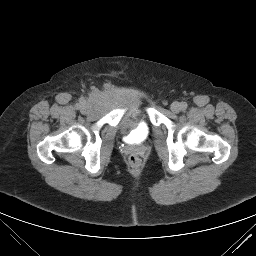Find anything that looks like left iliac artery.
Listing matches in <instances>:
<instances>
[{
    "instance_id": "left-iliac-artery-1",
    "label": "left iliac artery",
    "mask_w": 256,
    "mask_h": 256,
    "mask_svg": "<svg viewBox=\"0 0 256 256\" xmlns=\"http://www.w3.org/2000/svg\"><path fill=\"white\" fill-rule=\"evenodd\" d=\"M187 106H188V105H187L186 102H182V103H181V109H182V110L187 109Z\"/></svg>"
}]
</instances>
